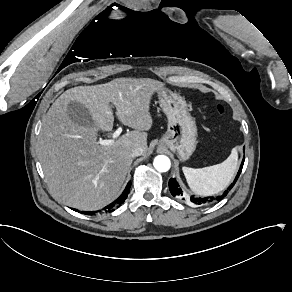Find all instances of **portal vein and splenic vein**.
<instances>
[{
	"label": "portal vein and splenic vein",
	"instance_id": "1",
	"mask_svg": "<svg viewBox=\"0 0 292 292\" xmlns=\"http://www.w3.org/2000/svg\"><path fill=\"white\" fill-rule=\"evenodd\" d=\"M122 131H123L122 126H119L117 130L114 132V136L115 137L119 136L122 133ZM111 142H112L111 140H102V139L97 140V143L100 145H108Z\"/></svg>",
	"mask_w": 292,
	"mask_h": 292
}]
</instances>
